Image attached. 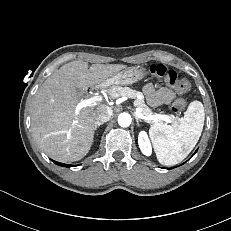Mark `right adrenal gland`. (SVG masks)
<instances>
[{"label":"right adrenal gland","instance_id":"obj_1","mask_svg":"<svg viewBox=\"0 0 231 231\" xmlns=\"http://www.w3.org/2000/svg\"><path fill=\"white\" fill-rule=\"evenodd\" d=\"M104 123H98V122H96L95 123V130H97L98 129V127H100L101 125H103Z\"/></svg>","mask_w":231,"mask_h":231}]
</instances>
